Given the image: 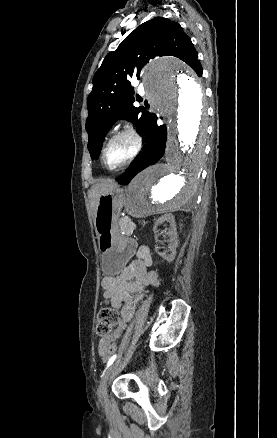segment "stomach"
<instances>
[{"mask_svg": "<svg viewBox=\"0 0 277 438\" xmlns=\"http://www.w3.org/2000/svg\"><path fill=\"white\" fill-rule=\"evenodd\" d=\"M123 204L124 192L118 186L98 199L95 230L102 253V270L106 275L119 274L131 255V240L122 235L118 227Z\"/></svg>", "mask_w": 277, "mask_h": 438, "instance_id": "0dacf381", "label": "stomach"}]
</instances>
